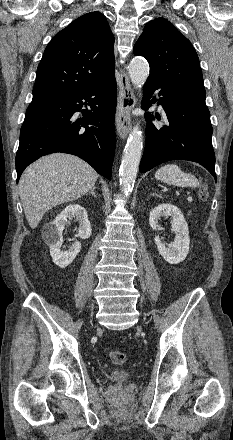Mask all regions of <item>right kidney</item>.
Masks as SVG:
<instances>
[{"label":"right kidney","mask_w":233,"mask_h":440,"mask_svg":"<svg viewBox=\"0 0 233 440\" xmlns=\"http://www.w3.org/2000/svg\"><path fill=\"white\" fill-rule=\"evenodd\" d=\"M76 217L79 222L76 237L88 239L92 234L88 214L84 207L79 204L66 206L63 211L57 215L55 220L44 228V239L50 248V255L53 262L60 268L70 265L81 250V243L75 242L68 250H61L63 244L62 232L68 220Z\"/></svg>","instance_id":"obj_1"}]
</instances>
